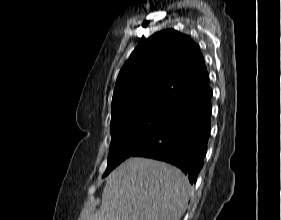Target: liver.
Returning a JSON list of instances; mask_svg holds the SVG:
<instances>
[{"label": "liver", "instance_id": "1", "mask_svg": "<svg viewBox=\"0 0 281 220\" xmlns=\"http://www.w3.org/2000/svg\"><path fill=\"white\" fill-rule=\"evenodd\" d=\"M191 192L180 169L133 157L107 177L99 210L79 220H180Z\"/></svg>", "mask_w": 281, "mask_h": 220}]
</instances>
